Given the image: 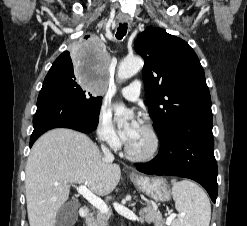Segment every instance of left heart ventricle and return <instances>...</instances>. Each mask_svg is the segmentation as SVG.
I'll return each mask as SVG.
<instances>
[{"label": "left heart ventricle", "mask_w": 247, "mask_h": 226, "mask_svg": "<svg viewBox=\"0 0 247 226\" xmlns=\"http://www.w3.org/2000/svg\"><path fill=\"white\" fill-rule=\"evenodd\" d=\"M127 145L133 153L144 155L151 150L153 141L148 131L144 127H141L139 132L127 143Z\"/></svg>", "instance_id": "b2bd125f"}]
</instances>
